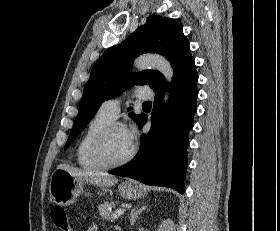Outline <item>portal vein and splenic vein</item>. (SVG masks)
<instances>
[{"label": "portal vein and splenic vein", "mask_w": 280, "mask_h": 231, "mask_svg": "<svg viewBox=\"0 0 280 231\" xmlns=\"http://www.w3.org/2000/svg\"><path fill=\"white\" fill-rule=\"evenodd\" d=\"M121 213H124V209H115L114 213H112V221L113 219H117Z\"/></svg>", "instance_id": "18ae733b"}]
</instances>
